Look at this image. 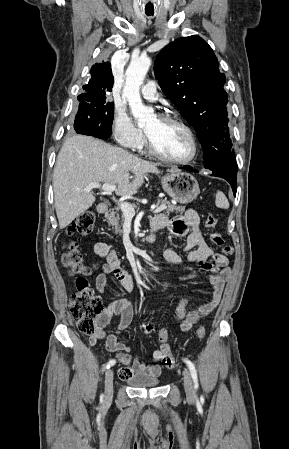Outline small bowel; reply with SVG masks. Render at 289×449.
I'll use <instances>...</instances> for the list:
<instances>
[{
  "instance_id": "small-bowel-1",
  "label": "small bowel",
  "mask_w": 289,
  "mask_h": 449,
  "mask_svg": "<svg viewBox=\"0 0 289 449\" xmlns=\"http://www.w3.org/2000/svg\"><path fill=\"white\" fill-rule=\"evenodd\" d=\"M151 225H156L159 229L167 227L169 232L175 237L186 236L184 251L187 252L185 258L180 256L171 248L165 247L162 251V257L171 264H182L183 262H191L201 266L206 271L213 272L209 275V281L212 287L210 300L199 308L188 311V300L182 298L176 306V316L180 320V330L186 332L190 330L197 321L204 316L209 315L218 306L226 281L231 275L229 260L226 256L214 253L207 245L204 239L203 231L200 225L197 213L189 209L183 216L175 217L168 220L165 215H157L152 219ZM94 252L101 258L106 259V263L102 266L101 271L95 278L96 289L104 293L108 276L113 275L124 290L132 292L135 283L132 275L122 266L121 261L114 250H110L105 242H97L94 245ZM195 276V273L184 274L178 276L179 279L186 280ZM113 316H119L120 321L113 333L106 334L104 327L110 322ZM134 309L131 302L126 298H119L112 301L105 308L100 325L97 331L90 336L89 343L95 345L103 340L106 349L115 353L117 360L123 364L119 371L122 380H129L135 374H147L158 376L162 372V365H148L144 362L133 358L130 348L118 341V336L133 321ZM152 361L161 360L159 349L152 354Z\"/></svg>"
}]
</instances>
